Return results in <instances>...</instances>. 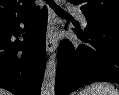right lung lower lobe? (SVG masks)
Returning <instances> with one entry per match:
<instances>
[{
  "label": "right lung lower lobe",
  "instance_id": "1",
  "mask_svg": "<svg viewBox=\"0 0 119 95\" xmlns=\"http://www.w3.org/2000/svg\"><path fill=\"white\" fill-rule=\"evenodd\" d=\"M33 16V15H32ZM0 29V87L15 95H39L45 69L47 8L32 20ZM27 27L23 41H14Z\"/></svg>",
  "mask_w": 119,
  "mask_h": 95
}]
</instances>
